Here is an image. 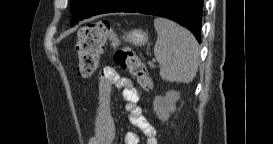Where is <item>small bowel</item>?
Wrapping results in <instances>:
<instances>
[{"mask_svg": "<svg viewBox=\"0 0 273 144\" xmlns=\"http://www.w3.org/2000/svg\"><path fill=\"white\" fill-rule=\"evenodd\" d=\"M113 87L122 91L125 100L124 109L130 124L144 135L147 144H157L156 130L146 119L142 108L138 104L140 99L138 90L129 78L121 76L117 70L111 66L104 67L98 77L97 92L99 107L95 121L94 136L90 139L89 143H116L115 124L110 111V97ZM124 143L139 144L140 137L136 132L129 131L125 134Z\"/></svg>", "mask_w": 273, "mask_h": 144, "instance_id": "small-bowel-1", "label": "small bowel"}]
</instances>
